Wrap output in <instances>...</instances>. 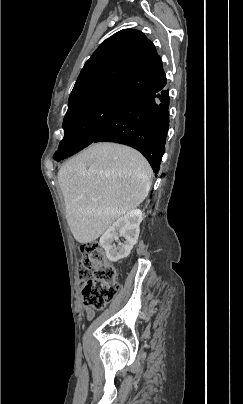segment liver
Instances as JSON below:
<instances>
[{
  "label": "liver",
  "mask_w": 243,
  "mask_h": 404,
  "mask_svg": "<svg viewBox=\"0 0 243 404\" xmlns=\"http://www.w3.org/2000/svg\"><path fill=\"white\" fill-rule=\"evenodd\" d=\"M152 170L145 158L121 144H92L58 172L67 224L76 242H95L120 216L147 198Z\"/></svg>",
  "instance_id": "liver-1"
}]
</instances>
